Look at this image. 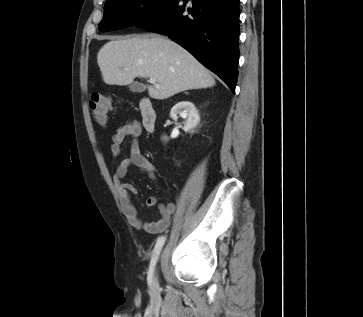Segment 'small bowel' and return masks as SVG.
<instances>
[{
  "label": "small bowel",
  "instance_id": "1",
  "mask_svg": "<svg viewBox=\"0 0 363 317\" xmlns=\"http://www.w3.org/2000/svg\"><path fill=\"white\" fill-rule=\"evenodd\" d=\"M142 134V125L136 121H130L119 127L116 133L112 136L111 153L114 156L120 153L121 146L125 138H132L129 155L118 165L113 179L118 189L123 213L128 222L132 226L144 229L147 232L160 233L169 227L172 217L175 214L176 206L173 203L160 205V218L155 222H143L139 218L137 209L131 201V194H136L137 188L130 183H121V180L126 176L128 169L131 166L138 167L153 180L157 178L155 166L143 155L140 150L139 139ZM157 203L158 199L156 196H150L146 200L147 207H153L157 205Z\"/></svg>",
  "mask_w": 363,
  "mask_h": 317
}]
</instances>
